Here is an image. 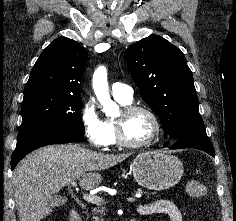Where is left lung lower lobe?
Listing matches in <instances>:
<instances>
[{
  "instance_id": "left-lung-lower-lobe-1",
  "label": "left lung lower lobe",
  "mask_w": 236,
  "mask_h": 221,
  "mask_svg": "<svg viewBox=\"0 0 236 221\" xmlns=\"http://www.w3.org/2000/svg\"><path fill=\"white\" fill-rule=\"evenodd\" d=\"M172 149L196 148L205 151L214 157V148L206 132H189L175 138Z\"/></svg>"
}]
</instances>
